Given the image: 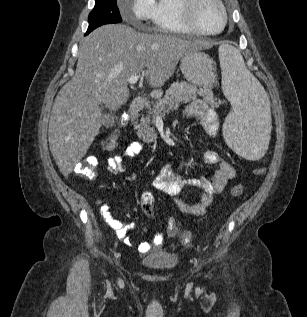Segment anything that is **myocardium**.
Wrapping results in <instances>:
<instances>
[{"label":"myocardium","mask_w":307,"mask_h":317,"mask_svg":"<svg viewBox=\"0 0 307 317\" xmlns=\"http://www.w3.org/2000/svg\"><path fill=\"white\" fill-rule=\"evenodd\" d=\"M202 1L203 0H181V11H182V15H183V19L185 23L192 31L200 35L210 36V35L219 34L220 32L224 30L228 22V13L223 1L212 0L219 6L221 14H222V24L220 28L215 31H206L202 29L197 22L196 9Z\"/></svg>","instance_id":"obj_1"}]
</instances>
